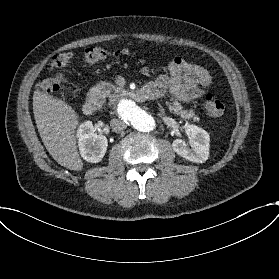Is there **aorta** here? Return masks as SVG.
<instances>
[{
    "label": "aorta",
    "mask_w": 279,
    "mask_h": 279,
    "mask_svg": "<svg viewBox=\"0 0 279 279\" xmlns=\"http://www.w3.org/2000/svg\"><path fill=\"white\" fill-rule=\"evenodd\" d=\"M117 112L139 131L150 132L155 128L153 117L131 99H121L117 104Z\"/></svg>",
    "instance_id": "aorta-1"
}]
</instances>
